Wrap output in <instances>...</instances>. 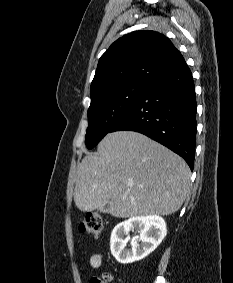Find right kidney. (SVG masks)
Segmentation results:
<instances>
[{"instance_id":"right-kidney-1","label":"right kidney","mask_w":233,"mask_h":283,"mask_svg":"<svg viewBox=\"0 0 233 283\" xmlns=\"http://www.w3.org/2000/svg\"><path fill=\"white\" fill-rule=\"evenodd\" d=\"M130 231H135L139 235V239H133L131 249L126 248ZM166 234V223L162 217L157 215L132 217L115 226L110 238V250L119 263H133L153 252Z\"/></svg>"}]
</instances>
